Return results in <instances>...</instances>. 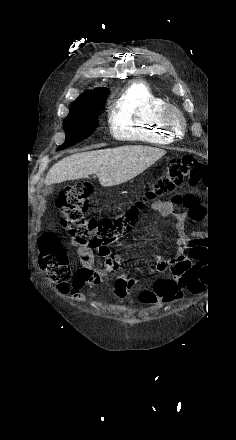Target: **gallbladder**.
<instances>
[{
	"instance_id": "bac80fb5",
	"label": "gallbladder",
	"mask_w": 236,
	"mask_h": 440,
	"mask_svg": "<svg viewBox=\"0 0 236 440\" xmlns=\"http://www.w3.org/2000/svg\"><path fill=\"white\" fill-rule=\"evenodd\" d=\"M53 188L51 186H45L42 190V194L44 196H47L48 194H50L52 192Z\"/></svg>"
}]
</instances>
